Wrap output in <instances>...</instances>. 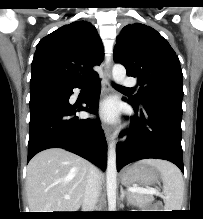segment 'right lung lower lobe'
<instances>
[{
	"instance_id": "obj_1",
	"label": "right lung lower lobe",
	"mask_w": 203,
	"mask_h": 219,
	"mask_svg": "<svg viewBox=\"0 0 203 219\" xmlns=\"http://www.w3.org/2000/svg\"><path fill=\"white\" fill-rule=\"evenodd\" d=\"M88 95L86 106L71 105L69 98L74 88L83 82L62 83L38 87L30 91V129L28 162L38 152L59 147L73 152L106 169L107 143L99 119H79L76 112L97 114L100 95L98 76Z\"/></svg>"
}]
</instances>
